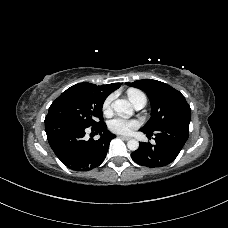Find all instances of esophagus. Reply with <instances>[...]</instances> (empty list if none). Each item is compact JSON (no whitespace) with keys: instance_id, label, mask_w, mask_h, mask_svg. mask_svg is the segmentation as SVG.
Returning <instances> with one entry per match:
<instances>
[{"instance_id":"34e87169","label":"esophagus","mask_w":228,"mask_h":228,"mask_svg":"<svg viewBox=\"0 0 228 228\" xmlns=\"http://www.w3.org/2000/svg\"><path fill=\"white\" fill-rule=\"evenodd\" d=\"M120 138H122L123 140H130L131 139V137H129V136H120Z\"/></svg>"}]
</instances>
